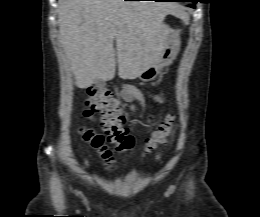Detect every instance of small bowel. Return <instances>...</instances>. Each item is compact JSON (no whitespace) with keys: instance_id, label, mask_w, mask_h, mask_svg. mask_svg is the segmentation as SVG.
Wrapping results in <instances>:
<instances>
[{"instance_id":"obj_1","label":"small bowel","mask_w":260,"mask_h":217,"mask_svg":"<svg viewBox=\"0 0 260 217\" xmlns=\"http://www.w3.org/2000/svg\"><path fill=\"white\" fill-rule=\"evenodd\" d=\"M121 94L125 101V107L132 112L135 110V107L133 105L134 100H139L143 104L145 103L146 100V95L144 93H142L139 89L130 85H123L121 88ZM151 98L155 102L160 103L163 101L164 95L163 93L153 94L151 95ZM150 120L151 117H148L147 121Z\"/></svg>"}]
</instances>
